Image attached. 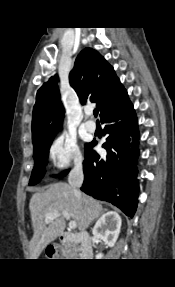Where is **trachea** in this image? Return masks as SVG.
<instances>
[{
    "label": "trachea",
    "instance_id": "3493384b",
    "mask_svg": "<svg viewBox=\"0 0 175 287\" xmlns=\"http://www.w3.org/2000/svg\"><path fill=\"white\" fill-rule=\"evenodd\" d=\"M93 113H94V116L97 117V115H98V109H95Z\"/></svg>",
    "mask_w": 175,
    "mask_h": 287
}]
</instances>
